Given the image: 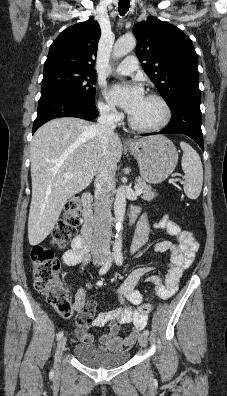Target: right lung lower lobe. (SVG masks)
<instances>
[{
  "label": "right lung lower lobe",
  "mask_w": 227,
  "mask_h": 396,
  "mask_svg": "<svg viewBox=\"0 0 227 396\" xmlns=\"http://www.w3.org/2000/svg\"><path fill=\"white\" fill-rule=\"evenodd\" d=\"M99 115L94 103H89L66 94H52L41 97L38 114L33 124L34 133L47 121L59 117H77L93 120Z\"/></svg>",
  "instance_id": "obj_1"
}]
</instances>
